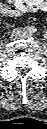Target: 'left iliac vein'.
Segmentation results:
<instances>
[{
  "instance_id": "left-iliac-vein-1",
  "label": "left iliac vein",
  "mask_w": 47,
  "mask_h": 129,
  "mask_svg": "<svg viewBox=\"0 0 47 129\" xmlns=\"http://www.w3.org/2000/svg\"><path fill=\"white\" fill-rule=\"evenodd\" d=\"M31 36H32L31 33H24L23 38H27V37H31Z\"/></svg>"
}]
</instances>
